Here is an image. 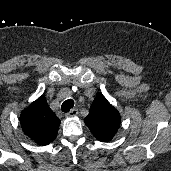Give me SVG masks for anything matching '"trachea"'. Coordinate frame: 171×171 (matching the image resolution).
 I'll return each mask as SVG.
<instances>
[{"label": "trachea", "instance_id": "trachea-1", "mask_svg": "<svg viewBox=\"0 0 171 171\" xmlns=\"http://www.w3.org/2000/svg\"><path fill=\"white\" fill-rule=\"evenodd\" d=\"M74 106V101L69 99L63 102L61 110L65 113L69 112L70 109Z\"/></svg>", "mask_w": 171, "mask_h": 171}]
</instances>
